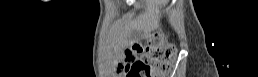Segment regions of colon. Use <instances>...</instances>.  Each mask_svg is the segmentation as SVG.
Instances as JSON below:
<instances>
[{"label":"colon","instance_id":"5ec220e1","mask_svg":"<svg viewBox=\"0 0 258 77\" xmlns=\"http://www.w3.org/2000/svg\"><path fill=\"white\" fill-rule=\"evenodd\" d=\"M176 54V47L162 34L152 35L141 51L128 50L118 69L127 77H162L169 72Z\"/></svg>","mask_w":258,"mask_h":77}]
</instances>
